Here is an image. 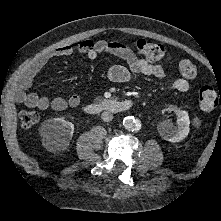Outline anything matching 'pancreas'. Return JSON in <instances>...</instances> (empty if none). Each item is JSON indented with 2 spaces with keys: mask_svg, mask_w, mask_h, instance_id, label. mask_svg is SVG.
Returning <instances> with one entry per match:
<instances>
[{
  "mask_svg": "<svg viewBox=\"0 0 221 221\" xmlns=\"http://www.w3.org/2000/svg\"><path fill=\"white\" fill-rule=\"evenodd\" d=\"M96 101H97V102H101V101H102V98L98 97V98H96Z\"/></svg>",
  "mask_w": 221,
  "mask_h": 221,
  "instance_id": "obj_1",
  "label": "pancreas"
}]
</instances>
